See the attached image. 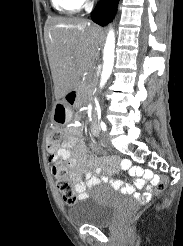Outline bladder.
Here are the masks:
<instances>
[{
  "label": "bladder",
  "mask_w": 183,
  "mask_h": 246,
  "mask_svg": "<svg viewBox=\"0 0 183 246\" xmlns=\"http://www.w3.org/2000/svg\"><path fill=\"white\" fill-rule=\"evenodd\" d=\"M117 204L109 187L97 185L91 194L68 211V217L71 223L79 226H107L115 216Z\"/></svg>",
  "instance_id": "31cf9c89"
}]
</instances>
